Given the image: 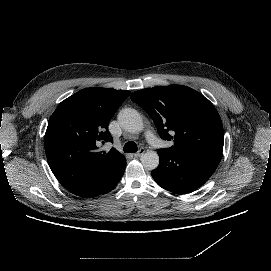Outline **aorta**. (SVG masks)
Returning a JSON list of instances; mask_svg holds the SVG:
<instances>
[{
    "mask_svg": "<svg viewBox=\"0 0 271 271\" xmlns=\"http://www.w3.org/2000/svg\"><path fill=\"white\" fill-rule=\"evenodd\" d=\"M117 119L121 127L130 133H136L143 129L142 117L140 113L133 108L122 109L118 113ZM140 160L144 169L149 171L156 169L159 165V156L155 151L145 152Z\"/></svg>",
    "mask_w": 271,
    "mask_h": 271,
    "instance_id": "aorta-1",
    "label": "aorta"
}]
</instances>
